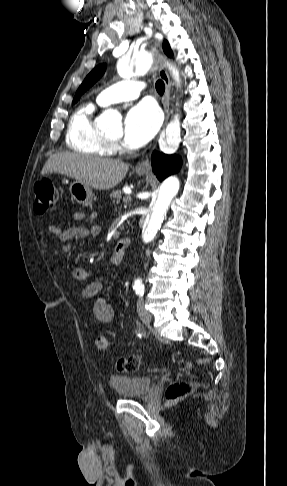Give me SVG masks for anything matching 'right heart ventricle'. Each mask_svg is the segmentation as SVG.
Wrapping results in <instances>:
<instances>
[{"label": "right heart ventricle", "mask_w": 287, "mask_h": 486, "mask_svg": "<svg viewBox=\"0 0 287 486\" xmlns=\"http://www.w3.org/2000/svg\"><path fill=\"white\" fill-rule=\"evenodd\" d=\"M96 107L92 103L81 106L72 115L66 134L67 146L78 153L109 156L113 147L94 120Z\"/></svg>", "instance_id": "obj_1"}]
</instances>
